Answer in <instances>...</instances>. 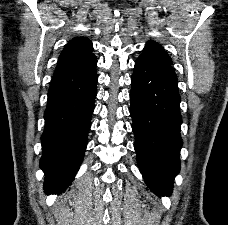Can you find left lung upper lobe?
Instances as JSON below:
<instances>
[{
  "label": "left lung upper lobe",
  "instance_id": "obj_1",
  "mask_svg": "<svg viewBox=\"0 0 228 225\" xmlns=\"http://www.w3.org/2000/svg\"><path fill=\"white\" fill-rule=\"evenodd\" d=\"M140 56L148 57L158 63L172 64V59L169 55L166 54L159 44L153 41L147 42L145 48L143 49V53Z\"/></svg>",
  "mask_w": 228,
  "mask_h": 225
}]
</instances>
